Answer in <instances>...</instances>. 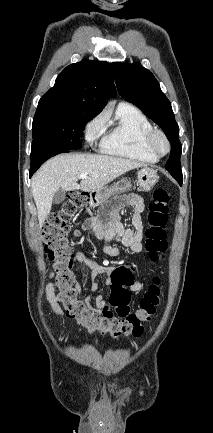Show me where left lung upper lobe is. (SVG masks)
Masks as SVG:
<instances>
[{"label": "left lung upper lobe", "instance_id": "1", "mask_svg": "<svg viewBox=\"0 0 213 433\" xmlns=\"http://www.w3.org/2000/svg\"><path fill=\"white\" fill-rule=\"evenodd\" d=\"M112 72L119 94L135 104L147 117L164 131L172 150L166 163V170L177 180H182L180 156L182 145L179 141V127L170 101L161 91L153 74L139 63H112Z\"/></svg>", "mask_w": 213, "mask_h": 433}]
</instances>
